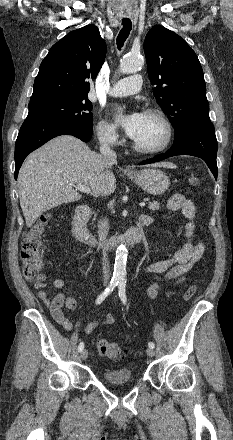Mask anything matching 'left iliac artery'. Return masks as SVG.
<instances>
[{"instance_id": "1", "label": "left iliac artery", "mask_w": 233, "mask_h": 440, "mask_svg": "<svg viewBox=\"0 0 233 440\" xmlns=\"http://www.w3.org/2000/svg\"><path fill=\"white\" fill-rule=\"evenodd\" d=\"M125 291H126V280L122 279V280H120L119 285H118V294H119V297L124 305L126 304V301H127ZM148 346L150 348H154L155 344L153 342H149Z\"/></svg>"}]
</instances>
